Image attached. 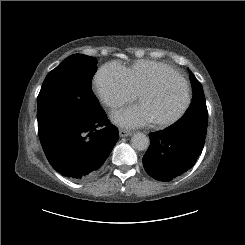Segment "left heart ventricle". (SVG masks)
<instances>
[{
  "label": "left heart ventricle",
  "instance_id": "1",
  "mask_svg": "<svg viewBox=\"0 0 245 245\" xmlns=\"http://www.w3.org/2000/svg\"><path fill=\"white\" fill-rule=\"evenodd\" d=\"M159 85V91L139 98V103L147 108L153 122L173 117L186 101L184 85L176 76H165L159 81Z\"/></svg>",
  "mask_w": 245,
  "mask_h": 245
}]
</instances>
